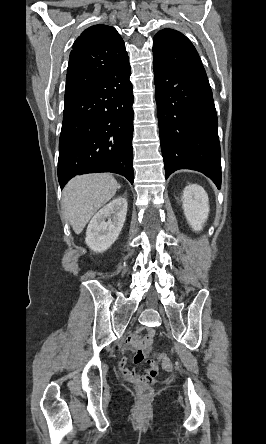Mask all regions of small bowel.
I'll list each match as a JSON object with an SVG mask.
<instances>
[{
	"instance_id": "c3829d8e",
	"label": "small bowel",
	"mask_w": 266,
	"mask_h": 444,
	"mask_svg": "<svg viewBox=\"0 0 266 444\" xmlns=\"http://www.w3.org/2000/svg\"><path fill=\"white\" fill-rule=\"evenodd\" d=\"M154 331L148 330V333L144 337L132 336L125 341V347L134 351L133 362L135 364L141 363L147 355V348L152 342ZM129 360L127 357H123L120 361V370L122 374L131 382L139 383H153L157 376L158 367L155 362L148 361L149 368L145 370V373L141 375L136 370L131 369L128 366Z\"/></svg>"
}]
</instances>
